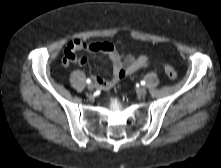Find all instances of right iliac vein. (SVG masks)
I'll return each mask as SVG.
<instances>
[{
	"instance_id": "right-iliac-vein-1",
	"label": "right iliac vein",
	"mask_w": 221,
	"mask_h": 168,
	"mask_svg": "<svg viewBox=\"0 0 221 168\" xmlns=\"http://www.w3.org/2000/svg\"><path fill=\"white\" fill-rule=\"evenodd\" d=\"M88 90L89 91H93L94 88H95V85L93 83H90L88 86H87Z\"/></svg>"
}]
</instances>
